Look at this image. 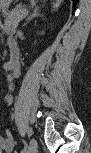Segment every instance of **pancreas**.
Wrapping results in <instances>:
<instances>
[{"label": "pancreas", "instance_id": "1", "mask_svg": "<svg viewBox=\"0 0 91 153\" xmlns=\"http://www.w3.org/2000/svg\"><path fill=\"white\" fill-rule=\"evenodd\" d=\"M25 15H26V12L24 9L17 10L11 15H6L4 19L6 28H9L15 31L16 24H18Z\"/></svg>", "mask_w": 91, "mask_h": 153}]
</instances>
